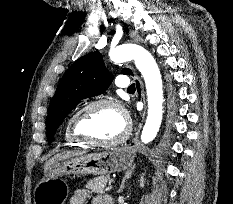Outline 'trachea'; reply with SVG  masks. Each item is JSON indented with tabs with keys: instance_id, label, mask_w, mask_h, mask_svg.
<instances>
[{
	"instance_id": "obj_1",
	"label": "trachea",
	"mask_w": 233,
	"mask_h": 204,
	"mask_svg": "<svg viewBox=\"0 0 233 204\" xmlns=\"http://www.w3.org/2000/svg\"><path fill=\"white\" fill-rule=\"evenodd\" d=\"M135 89V84H132L127 90L130 91V90H134Z\"/></svg>"
}]
</instances>
